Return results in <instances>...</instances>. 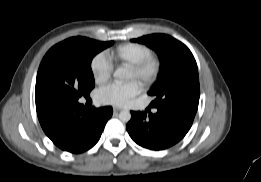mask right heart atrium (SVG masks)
<instances>
[{
	"label": "right heart atrium",
	"mask_w": 261,
	"mask_h": 182,
	"mask_svg": "<svg viewBox=\"0 0 261 182\" xmlns=\"http://www.w3.org/2000/svg\"><path fill=\"white\" fill-rule=\"evenodd\" d=\"M91 72L96 84L107 83L113 72V63L106 53L97 54L91 62Z\"/></svg>",
	"instance_id": "right-heart-atrium-1"
}]
</instances>
